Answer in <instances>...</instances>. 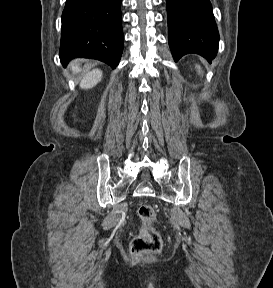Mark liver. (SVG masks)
Instances as JSON below:
<instances>
[{
	"label": "liver",
	"instance_id": "1",
	"mask_svg": "<svg viewBox=\"0 0 273 288\" xmlns=\"http://www.w3.org/2000/svg\"><path fill=\"white\" fill-rule=\"evenodd\" d=\"M73 72L78 73L80 71L79 65L77 62L71 64ZM102 79V71L99 69H93L88 72L83 79L81 80L80 87L82 89H90L97 85Z\"/></svg>",
	"mask_w": 273,
	"mask_h": 288
}]
</instances>
